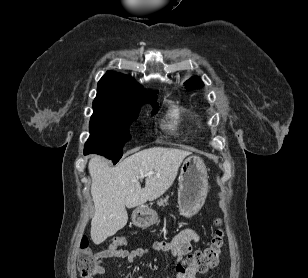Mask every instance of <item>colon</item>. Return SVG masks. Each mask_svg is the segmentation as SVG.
I'll list each match as a JSON object with an SVG mask.
<instances>
[{
    "mask_svg": "<svg viewBox=\"0 0 308 278\" xmlns=\"http://www.w3.org/2000/svg\"><path fill=\"white\" fill-rule=\"evenodd\" d=\"M126 240L122 236L112 239L107 243V250H119V247L125 244ZM223 233L220 230L212 238L211 244L202 249L190 253L186 256L185 263L187 267L196 270L199 273L206 272L210 268L217 266L223 248ZM102 257L100 253L90 249L86 237L81 239L80 254L78 259V270L82 278H95L99 275L102 268Z\"/></svg>",
    "mask_w": 308,
    "mask_h": 278,
    "instance_id": "colon-1",
    "label": "colon"
}]
</instances>
